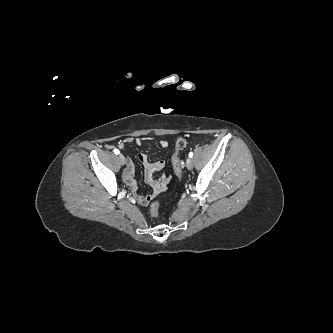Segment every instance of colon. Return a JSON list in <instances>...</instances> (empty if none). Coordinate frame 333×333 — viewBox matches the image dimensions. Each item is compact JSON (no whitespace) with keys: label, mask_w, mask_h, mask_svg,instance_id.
I'll list each match as a JSON object with an SVG mask.
<instances>
[{"label":"colon","mask_w":333,"mask_h":333,"mask_svg":"<svg viewBox=\"0 0 333 333\" xmlns=\"http://www.w3.org/2000/svg\"><path fill=\"white\" fill-rule=\"evenodd\" d=\"M186 146H187V141L184 138H179L175 142V151L172 156V164L175 175L178 177L179 180H182L183 177V165L180 160V152L184 150ZM158 209H159V203L157 201L153 202L149 208L150 214L153 217H157Z\"/></svg>","instance_id":"5ec220e1"}]
</instances>
